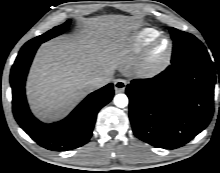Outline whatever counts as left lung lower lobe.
Returning a JSON list of instances; mask_svg holds the SVG:
<instances>
[{"label":"left lung lower lobe","mask_w":220,"mask_h":173,"mask_svg":"<svg viewBox=\"0 0 220 173\" xmlns=\"http://www.w3.org/2000/svg\"><path fill=\"white\" fill-rule=\"evenodd\" d=\"M215 79L210 57H191L153 78L133 80L126 94L134 134L158 148L187 144L212 118Z\"/></svg>","instance_id":"0a47b994"}]
</instances>
